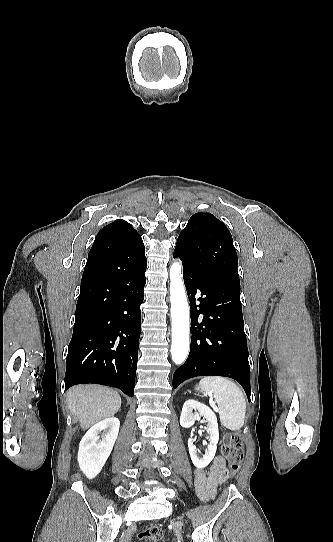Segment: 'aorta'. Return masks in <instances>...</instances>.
<instances>
[{
    "label": "aorta",
    "mask_w": 333,
    "mask_h": 542,
    "mask_svg": "<svg viewBox=\"0 0 333 542\" xmlns=\"http://www.w3.org/2000/svg\"><path fill=\"white\" fill-rule=\"evenodd\" d=\"M180 262L170 268V302L172 318L171 356L174 364H183L189 354V308L182 280Z\"/></svg>",
    "instance_id": "aorta-1"
}]
</instances>
